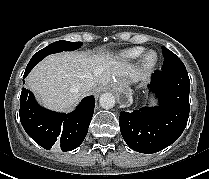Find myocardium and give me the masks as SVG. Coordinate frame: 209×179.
<instances>
[{
	"label": "myocardium",
	"mask_w": 209,
	"mask_h": 179,
	"mask_svg": "<svg viewBox=\"0 0 209 179\" xmlns=\"http://www.w3.org/2000/svg\"><path fill=\"white\" fill-rule=\"evenodd\" d=\"M159 57L155 50L146 51L141 58V65L145 69H152L158 63Z\"/></svg>",
	"instance_id": "1"
}]
</instances>
